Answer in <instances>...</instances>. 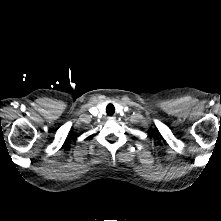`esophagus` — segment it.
I'll return each mask as SVG.
<instances>
[{
    "instance_id": "34e87169",
    "label": "esophagus",
    "mask_w": 221,
    "mask_h": 221,
    "mask_svg": "<svg viewBox=\"0 0 221 221\" xmlns=\"http://www.w3.org/2000/svg\"><path fill=\"white\" fill-rule=\"evenodd\" d=\"M115 119H116L115 116H109V117H108V120H109V121H114Z\"/></svg>"
}]
</instances>
